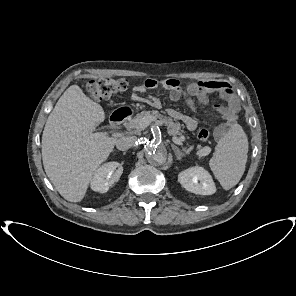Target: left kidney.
Instances as JSON below:
<instances>
[{"label": "left kidney", "mask_w": 296, "mask_h": 296, "mask_svg": "<svg viewBox=\"0 0 296 296\" xmlns=\"http://www.w3.org/2000/svg\"><path fill=\"white\" fill-rule=\"evenodd\" d=\"M178 181L187 191L195 194L212 195L216 192V186L211 175L200 166L180 172Z\"/></svg>", "instance_id": "left-kidney-1"}]
</instances>
